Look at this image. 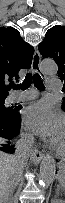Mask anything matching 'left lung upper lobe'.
I'll return each instance as SVG.
<instances>
[{"label": "left lung upper lobe", "instance_id": "left-lung-upper-lobe-1", "mask_svg": "<svg viewBox=\"0 0 65 203\" xmlns=\"http://www.w3.org/2000/svg\"><path fill=\"white\" fill-rule=\"evenodd\" d=\"M43 57L53 58L58 65V77L64 81L62 89L65 92V26L56 25L46 32L43 42L38 46ZM62 109L65 111V97Z\"/></svg>", "mask_w": 65, "mask_h": 203}]
</instances>
